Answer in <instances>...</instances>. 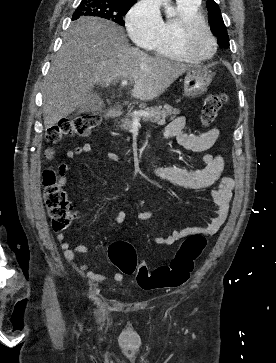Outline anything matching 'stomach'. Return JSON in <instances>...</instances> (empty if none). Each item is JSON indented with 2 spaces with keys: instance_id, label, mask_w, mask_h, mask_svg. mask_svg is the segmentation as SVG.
<instances>
[{
  "instance_id": "obj_1",
  "label": "stomach",
  "mask_w": 276,
  "mask_h": 363,
  "mask_svg": "<svg viewBox=\"0 0 276 363\" xmlns=\"http://www.w3.org/2000/svg\"><path fill=\"white\" fill-rule=\"evenodd\" d=\"M212 81V74L207 69H190L184 79V94L196 98L206 92Z\"/></svg>"
}]
</instances>
